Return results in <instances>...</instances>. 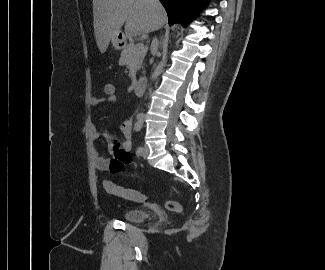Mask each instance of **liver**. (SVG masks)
Segmentation results:
<instances>
[{
	"mask_svg": "<svg viewBox=\"0 0 325 270\" xmlns=\"http://www.w3.org/2000/svg\"><path fill=\"white\" fill-rule=\"evenodd\" d=\"M94 34L101 53L125 23V36L131 38L162 27L166 13L151 0H93Z\"/></svg>",
	"mask_w": 325,
	"mask_h": 270,
	"instance_id": "obj_1",
	"label": "liver"
}]
</instances>
